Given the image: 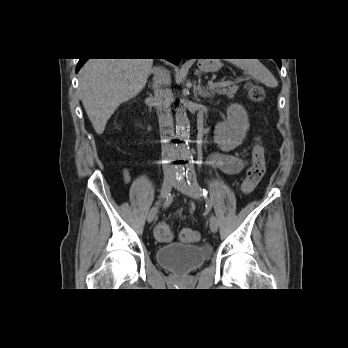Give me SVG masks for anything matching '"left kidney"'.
I'll return each instance as SVG.
<instances>
[{
  "label": "left kidney",
  "instance_id": "1",
  "mask_svg": "<svg viewBox=\"0 0 348 348\" xmlns=\"http://www.w3.org/2000/svg\"><path fill=\"white\" fill-rule=\"evenodd\" d=\"M249 126L244 107L231 104L227 109V119L215 126L214 141L223 152H229L242 144Z\"/></svg>",
  "mask_w": 348,
  "mask_h": 348
}]
</instances>
